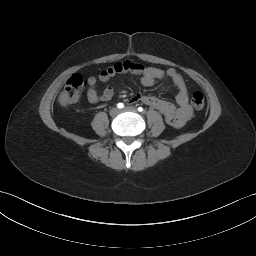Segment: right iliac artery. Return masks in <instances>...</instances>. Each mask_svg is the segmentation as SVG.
Wrapping results in <instances>:
<instances>
[{
	"label": "right iliac artery",
	"mask_w": 256,
	"mask_h": 256,
	"mask_svg": "<svg viewBox=\"0 0 256 256\" xmlns=\"http://www.w3.org/2000/svg\"><path fill=\"white\" fill-rule=\"evenodd\" d=\"M117 107H118L119 109H122V108L124 107V104H123V103H118V104H117Z\"/></svg>",
	"instance_id": "1"
}]
</instances>
